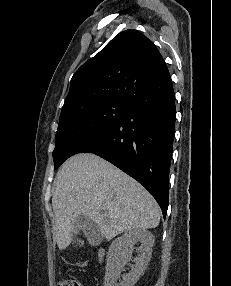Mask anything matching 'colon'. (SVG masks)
<instances>
[{
    "label": "colon",
    "mask_w": 231,
    "mask_h": 286,
    "mask_svg": "<svg viewBox=\"0 0 231 286\" xmlns=\"http://www.w3.org/2000/svg\"><path fill=\"white\" fill-rule=\"evenodd\" d=\"M58 286H82L81 283L76 279H66L61 281Z\"/></svg>",
    "instance_id": "colon-1"
}]
</instances>
